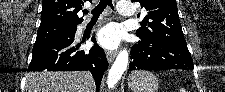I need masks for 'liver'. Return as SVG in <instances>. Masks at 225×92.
<instances>
[{"mask_svg": "<svg viewBox=\"0 0 225 92\" xmlns=\"http://www.w3.org/2000/svg\"><path fill=\"white\" fill-rule=\"evenodd\" d=\"M25 92H95L92 75L86 71L31 72Z\"/></svg>", "mask_w": 225, "mask_h": 92, "instance_id": "liver-1", "label": "liver"}]
</instances>
